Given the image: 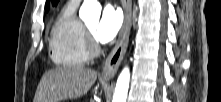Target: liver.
I'll return each instance as SVG.
<instances>
[{
    "mask_svg": "<svg viewBox=\"0 0 221 102\" xmlns=\"http://www.w3.org/2000/svg\"><path fill=\"white\" fill-rule=\"evenodd\" d=\"M97 75L94 70L75 66L49 70L38 84L34 102H61L80 98L91 89Z\"/></svg>",
    "mask_w": 221,
    "mask_h": 102,
    "instance_id": "1",
    "label": "liver"
}]
</instances>
